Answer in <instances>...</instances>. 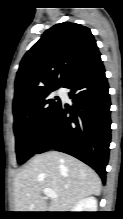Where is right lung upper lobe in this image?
<instances>
[{
  "mask_svg": "<svg viewBox=\"0 0 123 219\" xmlns=\"http://www.w3.org/2000/svg\"><path fill=\"white\" fill-rule=\"evenodd\" d=\"M99 57L89 28L71 22L54 25L24 55L15 79L13 104L64 86L73 75Z\"/></svg>",
  "mask_w": 123,
  "mask_h": 219,
  "instance_id": "1",
  "label": "right lung upper lobe"
}]
</instances>
